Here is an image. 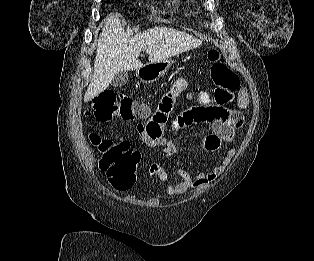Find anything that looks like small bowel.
<instances>
[{
    "label": "small bowel",
    "instance_id": "1",
    "mask_svg": "<svg viewBox=\"0 0 314 261\" xmlns=\"http://www.w3.org/2000/svg\"><path fill=\"white\" fill-rule=\"evenodd\" d=\"M186 88V79L184 77L177 78L170 90L162 97L152 119L137 125V133L145 145L149 147L161 145L163 147L159 157L150 164L148 173L150 176L158 178L168 196L181 195L189 190L205 188L225 172L234 155L232 150L225 151L220 165L212 166L209 170L199 172L194 176L184 169L175 168L174 172L178 180L173 182L169 166L164 160L177 151V144L171 139L172 136L168 132L174 130L173 133L177 136L180 133L177 130L179 126L194 127L195 124H210L211 131L201 139L199 147L209 152H218L225 144L231 143L235 139L236 131L242 127L244 122L241 110L245 109L248 104L246 91L240 90L237 93L239 109L232 108L231 101L224 104L200 105L193 109H182V113L173 116L170 127L167 126L164 129L178 97Z\"/></svg>",
    "mask_w": 314,
    "mask_h": 261
}]
</instances>
